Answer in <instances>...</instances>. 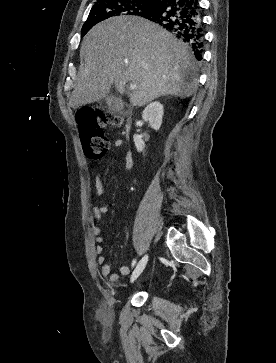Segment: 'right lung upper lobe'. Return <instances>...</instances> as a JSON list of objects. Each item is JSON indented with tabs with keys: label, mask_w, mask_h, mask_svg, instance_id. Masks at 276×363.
Returning a JSON list of instances; mask_svg holds the SVG:
<instances>
[{
	"label": "right lung upper lobe",
	"mask_w": 276,
	"mask_h": 363,
	"mask_svg": "<svg viewBox=\"0 0 276 363\" xmlns=\"http://www.w3.org/2000/svg\"><path fill=\"white\" fill-rule=\"evenodd\" d=\"M97 1H99V0H97ZM146 1H151L152 3H154V4H157L159 1H161V0H146Z\"/></svg>",
	"instance_id": "cb5924a9"
}]
</instances>
